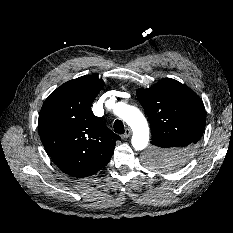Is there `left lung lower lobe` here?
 I'll return each instance as SVG.
<instances>
[{"label":"left lung lower lobe","instance_id":"0a47b994","mask_svg":"<svg viewBox=\"0 0 233 233\" xmlns=\"http://www.w3.org/2000/svg\"><path fill=\"white\" fill-rule=\"evenodd\" d=\"M157 144L162 146L163 148L169 150V151H176L181 148H184L187 144L183 139H180L178 137H172V138H160L157 139ZM185 160V156L179 157L178 159H174L173 163H182Z\"/></svg>","mask_w":233,"mask_h":233}]
</instances>
